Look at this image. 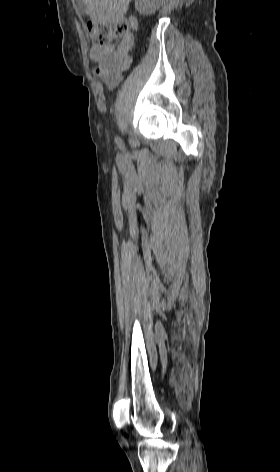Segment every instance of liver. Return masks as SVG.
Masks as SVG:
<instances>
[{
    "mask_svg": "<svg viewBox=\"0 0 280 472\" xmlns=\"http://www.w3.org/2000/svg\"><path fill=\"white\" fill-rule=\"evenodd\" d=\"M131 0H82L85 13L101 25L118 23L124 19Z\"/></svg>",
    "mask_w": 280,
    "mask_h": 472,
    "instance_id": "1",
    "label": "liver"
}]
</instances>
